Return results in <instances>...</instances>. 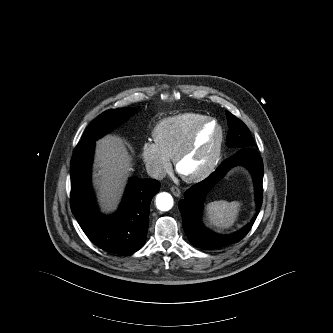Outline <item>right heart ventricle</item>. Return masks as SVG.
<instances>
[{
    "label": "right heart ventricle",
    "instance_id": "obj_1",
    "mask_svg": "<svg viewBox=\"0 0 333 333\" xmlns=\"http://www.w3.org/2000/svg\"><path fill=\"white\" fill-rule=\"evenodd\" d=\"M206 118V115L193 112L167 117L154 127V143L164 155L174 159L193 129Z\"/></svg>",
    "mask_w": 333,
    "mask_h": 333
}]
</instances>
